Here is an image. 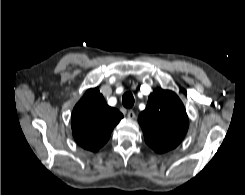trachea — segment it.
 Segmentation results:
<instances>
[{
    "instance_id": "trachea-1",
    "label": "trachea",
    "mask_w": 245,
    "mask_h": 195,
    "mask_svg": "<svg viewBox=\"0 0 245 195\" xmlns=\"http://www.w3.org/2000/svg\"><path fill=\"white\" fill-rule=\"evenodd\" d=\"M122 103L125 108H131L134 105V97L132 93L126 92L122 97Z\"/></svg>"
}]
</instances>
